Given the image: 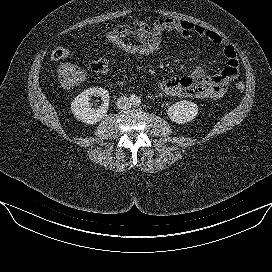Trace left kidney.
I'll return each mask as SVG.
<instances>
[{"mask_svg": "<svg viewBox=\"0 0 272 272\" xmlns=\"http://www.w3.org/2000/svg\"><path fill=\"white\" fill-rule=\"evenodd\" d=\"M167 114L173 122L184 124L195 118L198 106L190 101H179L168 108Z\"/></svg>", "mask_w": 272, "mask_h": 272, "instance_id": "5707ae66", "label": "left kidney"}]
</instances>
